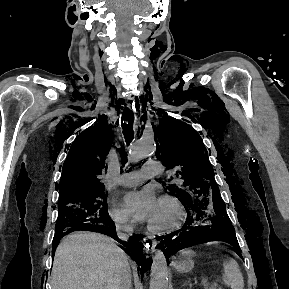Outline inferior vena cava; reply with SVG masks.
<instances>
[{
	"label": "inferior vena cava",
	"mask_w": 289,
	"mask_h": 289,
	"mask_svg": "<svg viewBox=\"0 0 289 289\" xmlns=\"http://www.w3.org/2000/svg\"><path fill=\"white\" fill-rule=\"evenodd\" d=\"M117 232L121 238L127 239L128 236L133 233V228L129 224H125V225L118 224ZM119 289H132L131 273H130V267L128 264L124 266L121 272Z\"/></svg>",
	"instance_id": "602c4592"
}]
</instances>
